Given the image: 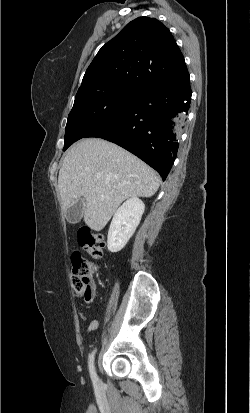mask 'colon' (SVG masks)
<instances>
[{
  "label": "colon",
  "mask_w": 250,
  "mask_h": 413,
  "mask_svg": "<svg viewBox=\"0 0 250 413\" xmlns=\"http://www.w3.org/2000/svg\"><path fill=\"white\" fill-rule=\"evenodd\" d=\"M79 245L92 260H100L104 255L103 237L88 227H82L77 233ZM80 253L72 256V283L75 292L87 303L92 302L95 294L94 276L98 272L97 265Z\"/></svg>",
  "instance_id": "5ec220e1"
}]
</instances>
